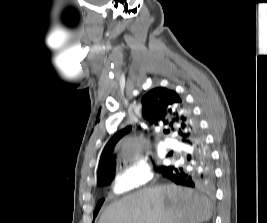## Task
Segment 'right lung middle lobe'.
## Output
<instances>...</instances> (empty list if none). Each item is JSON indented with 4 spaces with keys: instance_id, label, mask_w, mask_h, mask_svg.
Instances as JSON below:
<instances>
[{
    "instance_id": "1",
    "label": "right lung middle lobe",
    "mask_w": 267,
    "mask_h": 223,
    "mask_svg": "<svg viewBox=\"0 0 267 223\" xmlns=\"http://www.w3.org/2000/svg\"><path fill=\"white\" fill-rule=\"evenodd\" d=\"M164 167H161L160 170H162ZM115 176V168L108 169L102 177L98 179V183H107L109 184L111 179H113ZM104 200H100L96 206V212H94V217L97 215L101 205L103 204Z\"/></svg>"
}]
</instances>
